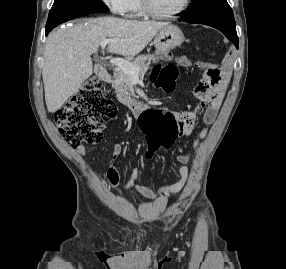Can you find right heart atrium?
Instances as JSON below:
<instances>
[{
  "mask_svg": "<svg viewBox=\"0 0 286 269\" xmlns=\"http://www.w3.org/2000/svg\"><path fill=\"white\" fill-rule=\"evenodd\" d=\"M114 14H123L126 0H102Z\"/></svg>",
  "mask_w": 286,
  "mask_h": 269,
  "instance_id": "right-heart-atrium-1",
  "label": "right heart atrium"
}]
</instances>
